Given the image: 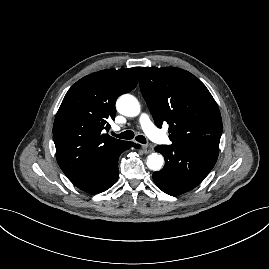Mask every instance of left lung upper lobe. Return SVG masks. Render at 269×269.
<instances>
[{"instance_id": "5c2ea615", "label": "left lung upper lobe", "mask_w": 269, "mask_h": 269, "mask_svg": "<svg viewBox=\"0 0 269 269\" xmlns=\"http://www.w3.org/2000/svg\"><path fill=\"white\" fill-rule=\"evenodd\" d=\"M140 89L156 125L169 124L172 145L219 151L222 119L217 103L193 74L175 67H143Z\"/></svg>"}]
</instances>
